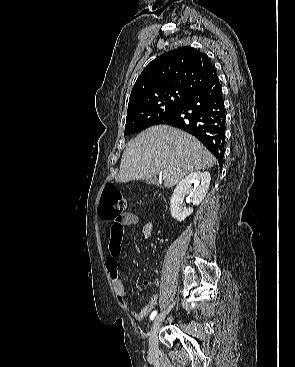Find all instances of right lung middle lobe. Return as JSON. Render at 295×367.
<instances>
[{"label": "right lung middle lobe", "mask_w": 295, "mask_h": 367, "mask_svg": "<svg viewBox=\"0 0 295 367\" xmlns=\"http://www.w3.org/2000/svg\"><path fill=\"white\" fill-rule=\"evenodd\" d=\"M188 96L184 92L168 91L133 102L128 106L124 134L140 132L154 125L180 107Z\"/></svg>", "instance_id": "1"}]
</instances>
